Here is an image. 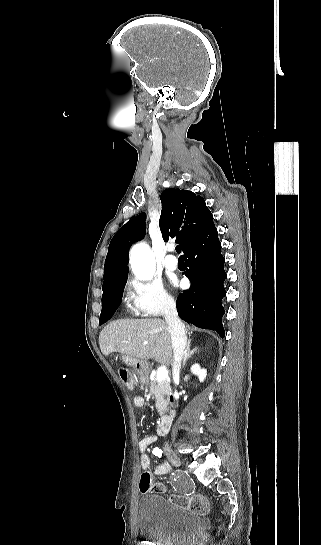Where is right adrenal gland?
Returning a JSON list of instances; mask_svg holds the SVG:
<instances>
[{"mask_svg": "<svg viewBox=\"0 0 321 545\" xmlns=\"http://www.w3.org/2000/svg\"><path fill=\"white\" fill-rule=\"evenodd\" d=\"M191 341H192V339H188L185 355L183 357L182 367H185L187 359H190V357H192V355H194V353H196V351H198V349H190Z\"/></svg>", "mask_w": 321, "mask_h": 545, "instance_id": "obj_1", "label": "right adrenal gland"}]
</instances>
